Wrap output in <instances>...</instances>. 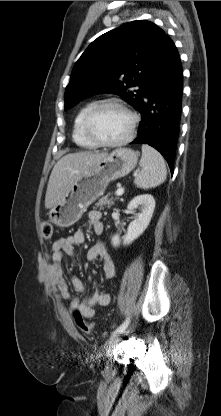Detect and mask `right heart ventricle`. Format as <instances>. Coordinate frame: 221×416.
Instances as JSON below:
<instances>
[{"instance_id": "obj_1", "label": "right heart ventricle", "mask_w": 221, "mask_h": 416, "mask_svg": "<svg viewBox=\"0 0 221 416\" xmlns=\"http://www.w3.org/2000/svg\"><path fill=\"white\" fill-rule=\"evenodd\" d=\"M97 104V101H89L85 103L76 113V116L74 118L73 122V140L74 142L84 148H94L97 145L93 143L85 134L84 128H83V122L87 115V113Z\"/></svg>"}]
</instances>
